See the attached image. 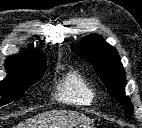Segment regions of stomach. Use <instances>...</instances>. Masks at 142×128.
<instances>
[{
	"label": "stomach",
	"mask_w": 142,
	"mask_h": 128,
	"mask_svg": "<svg viewBox=\"0 0 142 128\" xmlns=\"http://www.w3.org/2000/svg\"><path fill=\"white\" fill-rule=\"evenodd\" d=\"M75 128H94L90 121L79 123Z\"/></svg>",
	"instance_id": "0dacf381"
}]
</instances>
